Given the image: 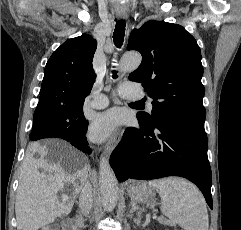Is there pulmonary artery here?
I'll return each instance as SVG.
<instances>
[{"label":"pulmonary artery","mask_w":241,"mask_h":230,"mask_svg":"<svg viewBox=\"0 0 241 230\" xmlns=\"http://www.w3.org/2000/svg\"><path fill=\"white\" fill-rule=\"evenodd\" d=\"M119 94L129 100H140L143 97L142 92L139 90L138 86L132 82L123 83L119 89ZM89 105L95 109H102L108 105V98L100 94L90 101ZM148 106L151 107V101H148Z\"/></svg>","instance_id":"pulmonary-artery-1"}]
</instances>
